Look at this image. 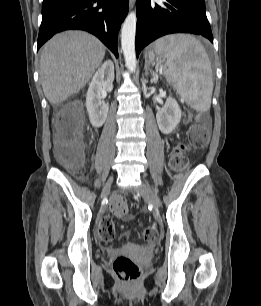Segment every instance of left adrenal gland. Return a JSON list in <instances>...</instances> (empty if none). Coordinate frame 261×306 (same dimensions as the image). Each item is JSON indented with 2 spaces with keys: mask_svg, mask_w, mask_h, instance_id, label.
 <instances>
[{
  "mask_svg": "<svg viewBox=\"0 0 261 306\" xmlns=\"http://www.w3.org/2000/svg\"><path fill=\"white\" fill-rule=\"evenodd\" d=\"M144 70H145V75L146 76H148L149 75V73H151V75H152V79H151V82H155L156 81V77H157V75H156V73L150 68V65L146 62L145 63V66H144Z\"/></svg>",
  "mask_w": 261,
  "mask_h": 306,
  "instance_id": "1",
  "label": "left adrenal gland"
}]
</instances>
